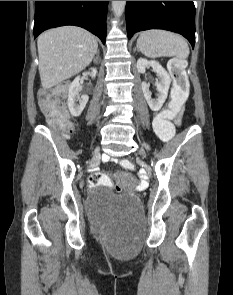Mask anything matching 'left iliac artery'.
I'll use <instances>...</instances> for the list:
<instances>
[{
    "mask_svg": "<svg viewBox=\"0 0 233 295\" xmlns=\"http://www.w3.org/2000/svg\"><path fill=\"white\" fill-rule=\"evenodd\" d=\"M145 148L148 150L150 147L147 145Z\"/></svg>",
    "mask_w": 233,
    "mask_h": 295,
    "instance_id": "left-iliac-artery-1",
    "label": "left iliac artery"
}]
</instances>
